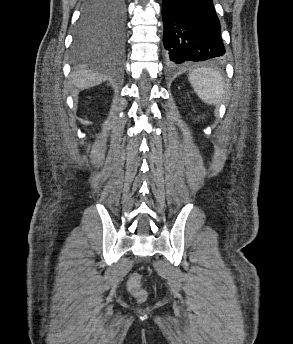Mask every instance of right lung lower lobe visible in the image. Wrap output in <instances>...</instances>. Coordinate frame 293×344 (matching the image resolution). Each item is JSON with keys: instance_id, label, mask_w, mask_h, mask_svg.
Here are the masks:
<instances>
[{"instance_id": "right-lung-lower-lobe-1", "label": "right lung lower lobe", "mask_w": 293, "mask_h": 344, "mask_svg": "<svg viewBox=\"0 0 293 344\" xmlns=\"http://www.w3.org/2000/svg\"><path fill=\"white\" fill-rule=\"evenodd\" d=\"M89 0H85V3ZM123 11H124V20L123 24L120 28L116 30H111V35L113 37V42L111 45L121 47L124 40V32H125V0H123Z\"/></svg>"}]
</instances>
